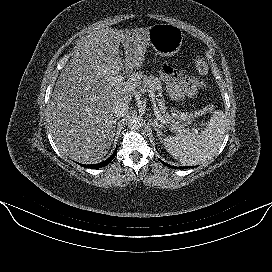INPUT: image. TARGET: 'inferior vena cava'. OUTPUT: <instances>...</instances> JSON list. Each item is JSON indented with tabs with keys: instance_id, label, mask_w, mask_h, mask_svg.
I'll use <instances>...</instances> for the list:
<instances>
[{
	"instance_id": "1",
	"label": "inferior vena cava",
	"mask_w": 272,
	"mask_h": 272,
	"mask_svg": "<svg viewBox=\"0 0 272 272\" xmlns=\"http://www.w3.org/2000/svg\"><path fill=\"white\" fill-rule=\"evenodd\" d=\"M128 109H129L128 103L119 100L113 106V114L116 118H120L123 117L128 112Z\"/></svg>"
}]
</instances>
